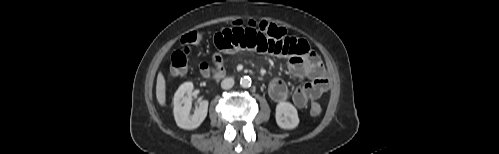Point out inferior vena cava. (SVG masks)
<instances>
[{
  "instance_id": "602c4592",
  "label": "inferior vena cava",
  "mask_w": 499,
  "mask_h": 154,
  "mask_svg": "<svg viewBox=\"0 0 499 154\" xmlns=\"http://www.w3.org/2000/svg\"><path fill=\"white\" fill-rule=\"evenodd\" d=\"M234 85V79L232 78H226L221 82V87L223 89H230Z\"/></svg>"
}]
</instances>
